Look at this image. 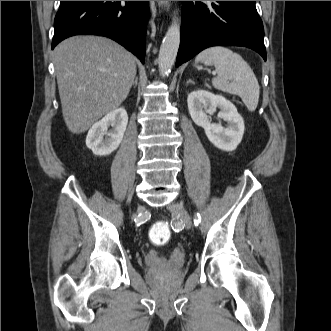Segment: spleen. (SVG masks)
Returning a JSON list of instances; mask_svg holds the SVG:
<instances>
[{"instance_id": "3e777b00", "label": "spleen", "mask_w": 331, "mask_h": 331, "mask_svg": "<svg viewBox=\"0 0 331 331\" xmlns=\"http://www.w3.org/2000/svg\"><path fill=\"white\" fill-rule=\"evenodd\" d=\"M196 62L214 65L217 76L212 79L213 87L238 95L249 111H255L260 87L253 70L239 54L223 46H213L200 52Z\"/></svg>"}]
</instances>
